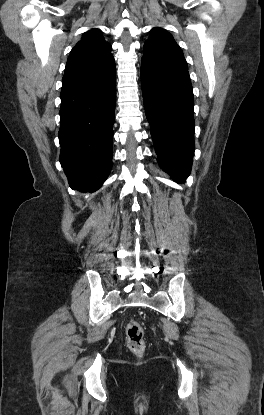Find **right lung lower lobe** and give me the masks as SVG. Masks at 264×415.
I'll return each mask as SVG.
<instances>
[{
	"label": "right lung lower lobe",
	"mask_w": 264,
	"mask_h": 415,
	"mask_svg": "<svg viewBox=\"0 0 264 415\" xmlns=\"http://www.w3.org/2000/svg\"><path fill=\"white\" fill-rule=\"evenodd\" d=\"M116 73L63 86L60 163L72 189L100 188L112 168Z\"/></svg>",
	"instance_id": "obj_1"
}]
</instances>
